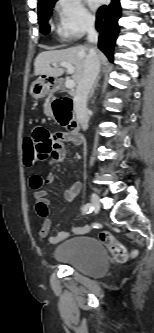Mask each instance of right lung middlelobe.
I'll return each mask as SVG.
<instances>
[{
    "mask_svg": "<svg viewBox=\"0 0 154 333\" xmlns=\"http://www.w3.org/2000/svg\"><path fill=\"white\" fill-rule=\"evenodd\" d=\"M57 0H42L38 4V15L40 31L43 34L50 32L49 18L52 15V8Z\"/></svg>",
    "mask_w": 154,
    "mask_h": 333,
    "instance_id": "right-lung-middle-lobe-1",
    "label": "right lung middle lobe"
}]
</instances>
